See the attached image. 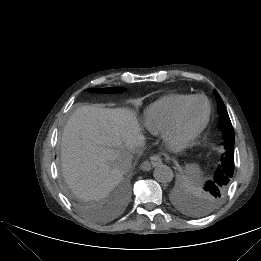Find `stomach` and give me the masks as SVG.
Instances as JSON below:
<instances>
[{
    "instance_id": "obj_1",
    "label": "stomach",
    "mask_w": 261,
    "mask_h": 261,
    "mask_svg": "<svg viewBox=\"0 0 261 261\" xmlns=\"http://www.w3.org/2000/svg\"><path fill=\"white\" fill-rule=\"evenodd\" d=\"M185 171H186L187 176L190 179H192L197 174L198 168L194 164H189V165L186 166V170Z\"/></svg>"
}]
</instances>
